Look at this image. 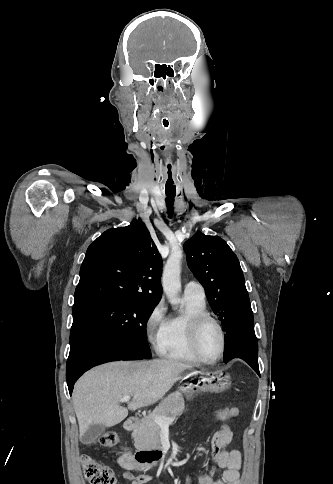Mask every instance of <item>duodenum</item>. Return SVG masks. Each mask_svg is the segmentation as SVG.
Segmentation results:
<instances>
[{
  "mask_svg": "<svg viewBox=\"0 0 333 484\" xmlns=\"http://www.w3.org/2000/svg\"><path fill=\"white\" fill-rule=\"evenodd\" d=\"M139 426V419L130 417L125 421V428L129 431L137 429ZM170 457H162L160 452L140 450L133 455L130 451H125L120 457L121 466L126 470H140L149 465L156 464L162 460H169Z\"/></svg>",
  "mask_w": 333,
  "mask_h": 484,
  "instance_id": "obj_1",
  "label": "duodenum"
}]
</instances>
